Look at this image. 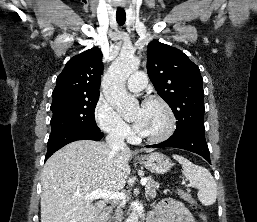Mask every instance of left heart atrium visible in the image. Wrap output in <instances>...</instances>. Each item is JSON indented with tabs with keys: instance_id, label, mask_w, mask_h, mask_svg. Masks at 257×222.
Returning <instances> with one entry per match:
<instances>
[{
	"instance_id": "left-heart-atrium-1",
	"label": "left heart atrium",
	"mask_w": 257,
	"mask_h": 222,
	"mask_svg": "<svg viewBox=\"0 0 257 222\" xmlns=\"http://www.w3.org/2000/svg\"><path fill=\"white\" fill-rule=\"evenodd\" d=\"M134 128L135 130L138 132V133H141L142 130H143V119L142 117H138L136 120H135V123H134Z\"/></svg>"
}]
</instances>
